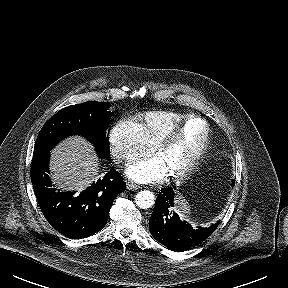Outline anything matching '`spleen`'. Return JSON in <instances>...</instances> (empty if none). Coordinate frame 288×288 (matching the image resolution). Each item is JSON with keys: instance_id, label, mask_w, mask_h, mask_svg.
I'll use <instances>...</instances> for the list:
<instances>
[{"instance_id": "obj_1", "label": "spleen", "mask_w": 288, "mask_h": 288, "mask_svg": "<svg viewBox=\"0 0 288 288\" xmlns=\"http://www.w3.org/2000/svg\"><path fill=\"white\" fill-rule=\"evenodd\" d=\"M176 211L180 214L182 218L190 215V206L183 196L179 195L175 199Z\"/></svg>"}]
</instances>
